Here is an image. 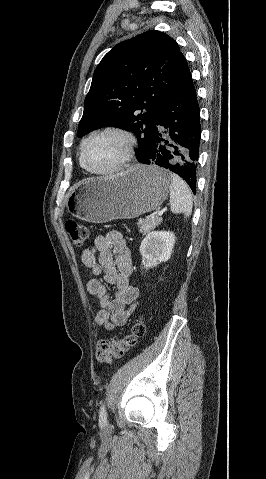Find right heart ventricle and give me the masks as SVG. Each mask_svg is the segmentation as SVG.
<instances>
[{
  "label": "right heart ventricle",
  "mask_w": 266,
  "mask_h": 479,
  "mask_svg": "<svg viewBox=\"0 0 266 479\" xmlns=\"http://www.w3.org/2000/svg\"><path fill=\"white\" fill-rule=\"evenodd\" d=\"M83 146H84V144H83ZM83 146H82V148H83ZM82 148H81V152H82ZM81 152H80V158H79L80 165H81L82 168L86 169V168L84 167L83 162H82V159H81Z\"/></svg>",
  "instance_id": "1"
}]
</instances>
